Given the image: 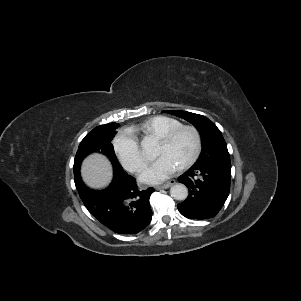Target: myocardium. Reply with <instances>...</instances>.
I'll use <instances>...</instances> for the list:
<instances>
[{
	"label": "myocardium",
	"instance_id": "1",
	"mask_svg": "<svg viewBox=\"0 0 301 301\" xmlns=\"http://www.w3.org/2000/svg\"><path fill=\"white\" fill-rule=\"evenodd\" d=\"M189 131L192 133L195 146L192 154L180 165V168H186L192 165L199 157L202 150V138L199 130L192 125H181L172 131L159 137V140L165 143L173 142L181 133Z\"/></svg>",
	"mask_w": 301,
	"mask_h": 301
}]
</instances>
